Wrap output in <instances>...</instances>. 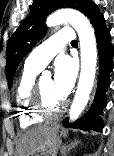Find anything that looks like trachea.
<instances>
[{
    "instance_id": "trachea-1",
    "label": "trachea",
    "mask_w": 114,
    "mask_h": 156,
    "mask_svg": "<svg viewBox=\"0 0 114 156\" xmlns=\"http://www.w3.org/2000/svg\"><path fill=\"white\" fill-rule=\"evenodd\" d=\"M71 43L72 44H77V41L76 40H73Z\"/></svg>"
}]
</instances>
